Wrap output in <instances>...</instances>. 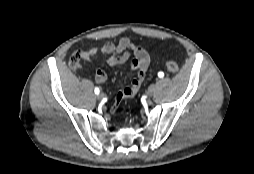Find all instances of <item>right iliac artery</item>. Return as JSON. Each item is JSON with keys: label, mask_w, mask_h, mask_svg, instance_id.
Returning a JSON list of instances; mask_svg holds the SVG:
<instances>
[{"label": "right iliac artery", "mask_w": 254, "mask_h": 174, "mask_svg": "<svg viewBox=\"0 0 254 174\" xmlns=\"http://www.w3.org/2000/svg\"><path fill=\"white\" fill-rule=\"evenodd\" d=\"M94 91H95V94H97V95H98V94H99V92H100L99 88H97V87L95 88V90H94Z\"/></svg>", "instance_id": "82829eb1"}]
</instances>
